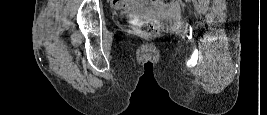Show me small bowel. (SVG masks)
<instances>
[{
	"mask_svg": "<svg viewBox=\"0 0 267 115\" xmlns=\"http://www.w3.org/2000/svg\"><path fill=\"white\" fill-rule=\"evenodd\" d=\"M114 6L117 10L134 16L143 15L146 12V2L144 1L118 0L114 2Z\"/></svg>",
	"mask_w": 267,
	"mask_h": 115,
	"instance_id": "1",
	"label": "small bowel"
}]
</instances>
